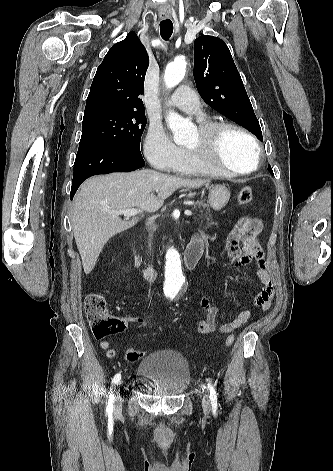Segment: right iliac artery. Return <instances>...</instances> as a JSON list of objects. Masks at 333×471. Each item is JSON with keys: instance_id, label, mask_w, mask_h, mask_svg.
<instances>
[{"instance_id": "82829eb1", "label": "right iliac artery", "mask_w": 333, "mask_h": 471, "mask_svg": "<svg viewBox=\"0 0 333 471\" xmlns=\"http://www.w3.org/2000/svg\"><path fill=\"white\" fill-rule=\"evenodd\" d=\"M120 379H121V375L119 373L116 374L112 379L108 405H107V408H106L108 413H112V411H113V400H114L113 392L115 390L116 385L120 382Z\"/></svg>"}]
</instances>
